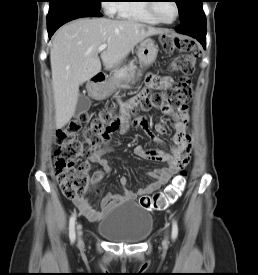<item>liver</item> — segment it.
<instances>
[{
  "label": "liver",
  "mask_w": 258,
  "mask_h": 275,
  "mask_svg": "<svg viewBox=\"0 0 258 275\" xmlns=\"http://www.w3.org/2000/svg\"><path fill=\"white\" fill-rule=\"evenodd\" d=\"M162 33L130 19L80 18L62 26L50 50L56 128L64 127L74 115L79 86L100 72L101 62L95 53L100 45L107 44L101 53L103 64L113 68L139 42Z\"/></svg>",
  "instance_id": "1"
}]
</instances>
